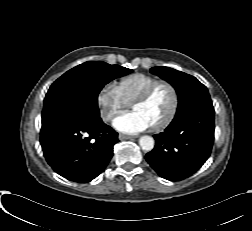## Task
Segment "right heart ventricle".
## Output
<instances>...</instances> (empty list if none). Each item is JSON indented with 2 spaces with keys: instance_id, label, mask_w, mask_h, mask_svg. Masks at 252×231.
<instances>
[{
  "instance_id": "e07e8e85",
  "label": "right heart ventricle",
  "mask_w": 252,
  "mask_h": 231,
  "mask_svg": "<svg viewBox=\"0 0 252 231\" xmlns=\"http://www.w3.org/2000/svg\"><path fill=\"white\" fill-rule=\"evenodd\" d=\"M158 80L157 77L136 73L119 80L117 88L122 98L128 103H132L149 85Z\"/></svg>"
}]
</instances>
